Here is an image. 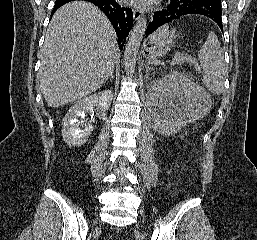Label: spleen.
Masks as SVG:
<instances>
[{"label": "spleen", "mask_w": 257, "mask_h": 240, "mask_svg": "<svg viewBox=\"0 0 257 240\" xmlns=\"http://www.w3.org/2000/svg\"><path fill=\"white\" fill-rule=\"evenodd\" d=\"M168 29V25H165L156 31L152 37L157 36L160 31H168ZM198 58L200 66H197V70L199 73L203 72L202 82L206 88L214 94L223 93L227 68L220 43L213 32H209L207 40L198 51Z\"/></svg>", "instance_id": "1"}]
</instances>
